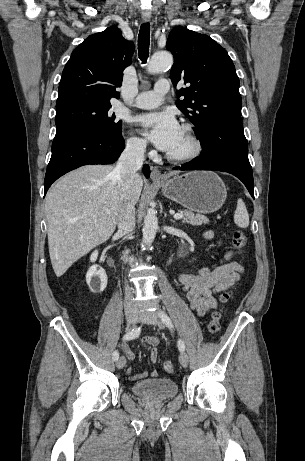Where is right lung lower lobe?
<instances>
[{"label":"right lung lower lobe","instance_id":"right-lung-lower-lobe-1","mask_svg":"<svg viewBox=\"0 0 305 461\" xmlns=\"http://www.w3.org/2000/svg\"><path fill=\"white\" fill-rule=\"evenodd\" d=\"M124 148L121 132L106 134L75 127L57 130L45 175L44 196L51 184L65 173L87 164L114 163ZM143 172L149 177L148 165H144Z\"/></svg>","mask_w":305,"mask_h":461}]
</instances>
